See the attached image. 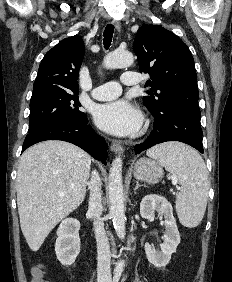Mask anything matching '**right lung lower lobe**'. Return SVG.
Here are the masks:
<instances>
[{
    "label": "right lung lower lobe",
    "mask_w": 232,
    "mask_h": 282,
    "mask_svg": "<svg viewBox=\"0 0 232 282\" xmlns=\"http://www.w3.org/2000/svg\"><path fill=\"white\" fill-rule=\"evenodd\" d=\"M87 123V118L82 121L64 120L30 131L24 140L22 151L41 141L62 140L79 146L106 165L107 144Z\"/></svg>",
    "instance_id": "1"
}]
</instances>
